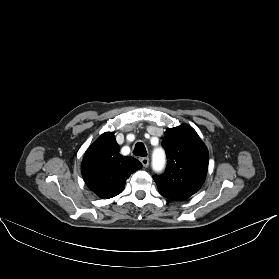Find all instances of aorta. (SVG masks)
<instances>
[{
	"mask_svg": "<svg viewBox=\"0 0 279 279\" xmlns=\"http://www.w3.org/2000/svg\"><path fill=\"white\" fill-rule=\"evenodd\" d=\"M152 164L156 170L162 169L165 164V154L162 149H156L152 155Z\"/></svg>",
	"mask_w": 279,
	"mask_h": 279,
	"instance_id": "aorta-1",
	"label": "aorta"
}]
</instances>
